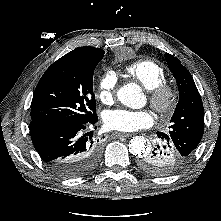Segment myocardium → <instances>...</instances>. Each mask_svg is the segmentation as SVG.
Instances as JSON below:
<instances>
[{"label":"myocardium","instance_id":"myocardium-1","mask_svg":"<svg viewBox=\"0 0 221 221\" xmlns=\"http://www.w3.org/2000/svg\"><path fill=\"white\" fill-rule=\"evenodd\" d=\"M149 101L152 108L162 117L170 115L178 102L177 88L166 81L149 90Z\"/></svg>","mask_w":221,"mask_h":221}]
</instances>
